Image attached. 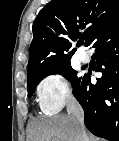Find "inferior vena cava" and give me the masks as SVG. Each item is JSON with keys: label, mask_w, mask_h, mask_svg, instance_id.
Wrapping results in <instances>:
<instances>
[{"label": "inferior vena cava", "mask_w": 119, "mask_h": 141, "mask_svg": "<svg viewBox=\"0 0 119 141\" xmlns=\"http://www.w3.org/2000/svg\"><path fill=\"white\" fill-rule=\"evenodd\" d=\"M67 112L68 115H71L75 119L76 125L82 134V141H87L84 128V111L79 102L73 96L68 98Z\"/></svg>", "instance_id": "inferior-vena-cava-1"}]
</instances>
